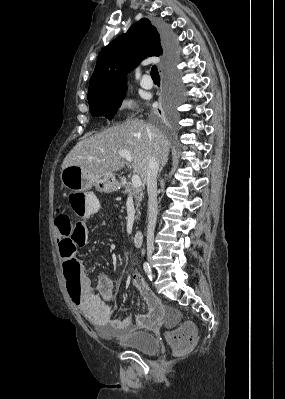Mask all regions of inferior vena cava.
Here are the masks:
<instances>
[{"label": "inferior vena cava", "instance_id": "inferior-vena-cava-1", "mask_svg": "<svg viewBox=\"0 0 285 399\" xmlns=\"http://www.w3.org/2000/svg\"><path fill=\"white\" fill-rule=\"evenodd\" d=\"M159 163L154 155H150L147 168V193H148V229H147V251L154 249V230L156 226L158 202H157V173Z\"/></svg>", "mask_w": 285, "mask_h": 399}]
</instances>
